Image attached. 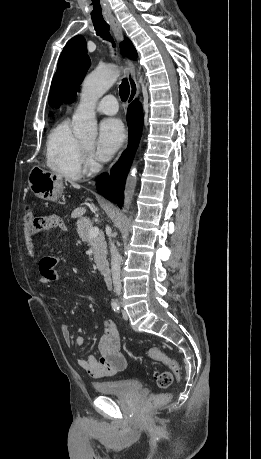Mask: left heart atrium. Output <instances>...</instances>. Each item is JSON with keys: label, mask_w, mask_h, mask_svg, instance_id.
<instances>
[{"label": "left heart atrium", "mask_w": 261, "mask_h": 459, "mask_svg": "<svg viewBox=\"0 0 261 459\" xmlns=\"http://www.w3.org/2000/svg\"><path fill=\"white\" fill-rule=\"evenodd\" d=\"M125 129L122 122L115 118L105 119L99 126L96 142L97 157L102 161L109 160L122 146Z\"/></svg>", "instance_id": "39dd6f15"}]
</instances>
